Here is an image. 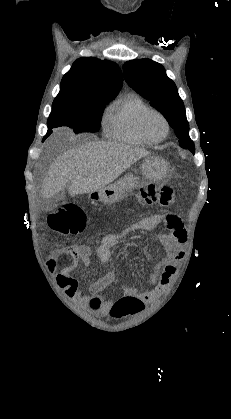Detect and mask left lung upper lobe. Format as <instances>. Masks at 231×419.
<instances>
[{"label":"left lung upper lobe","mask_w":231,"mask_h":419,"mask_svg":"<svg viewBox=\"0 0 231 419\" xmlns=\"http://www.w3.org/2000/svg\"><path fill=\"white\" fill-rule=\"evenodd\" d=\"M123 74L125 81L163 114L174 129L179 145L194 153L183 101L164 67L150 59L131 60L124 63Z\"/></svg>","instance_id":"1"}]
</instances>
